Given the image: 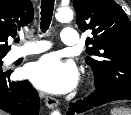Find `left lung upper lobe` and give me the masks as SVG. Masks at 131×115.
I'll return each mask as SVG.
<instances>
[{"label": "left lung upper lobe", "mask_w": 131, "mask_h": 115, "mask_svg": "<svg viewBox=\"0 0 131 115\" xmlns=\"http://www.w3.org/2000/svg\"><path fill=\"white\" fill-rule=\"evenodd\" d=\"M76 22L87 38V64L101 90L131 91V22L114 0H73Z\"/></svg>", "instance_id": "obj_1"}]
</instances>
